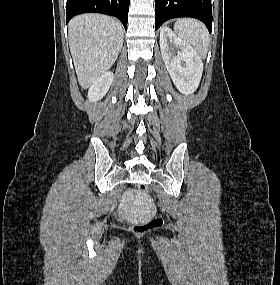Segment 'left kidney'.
<instances>
[{
    "label": "left kidney",
    "instance_id": "5707ae66",
    "mask_svg": "<svg viewBox=\"0 0 280 285\" xmlns=\"http://www.w3.org/2000/svg\"><path fill=\"white\" fill-rule=\"evenodd\" d=\"M160 50L177 89L185 95L194 93L203 73V63L197 52L166 26L160 31Z\"/></svg>",
    "mask_w": 280,
    "mask_h": 285
}]
</instances>
